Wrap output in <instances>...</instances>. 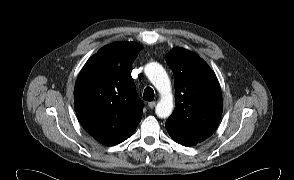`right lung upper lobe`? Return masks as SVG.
<instances>
[{"label":"right lung upper lobe","mask_w":294,"mask_h":180,"mask_svg":"<svg viewBox=\"0 0 294 180\" xmlns=\"http://www.w3.org/2000/svg\"><path fill=\"white\" fill-rule=\"evenodd\" d=\"M141 49L135 42L107 45L87 61L76 81L78 119L104 145L115 144L141 120L143 104L130 74Z\"/></svg>","instance_id":"right-lung-upper-lobe-1"}]
</instances>
